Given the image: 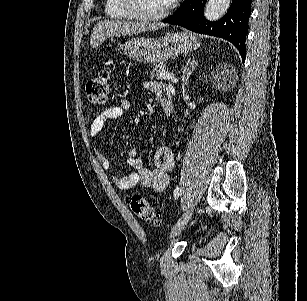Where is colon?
<instances>
[{"mask_svg": "<svg viewBox=\"0 0 307 301\" xmlns=\"http://www.w3.org/2000/svg\"><path fill=\"white\" fill-rule=\"evenodd\" d=\"M86 94L94 104L103 105L107 102L109 97V74L107 71H100L87 82ZM129 204L137 217L149 221L158 219V213L144 197L132 195L129 198Z\"/></svg>", "mask_w": 307, "mask_h": 301, "instance_id": "5ec220e1", "label": "colon"}]
</instances>
